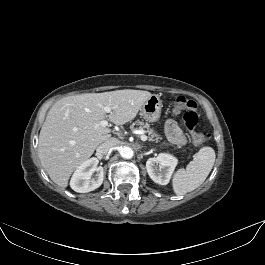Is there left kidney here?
Wrapping results in <instances>:
<instances>
[{
    "mask_svg": "<svg viewBox=\"0 0 265 265\" xmlns=\"http://www.w3.org/2000/svg\"><path fill=\"white\" fill-rule=\"evenodd\" d=\"M178 160L166 153H161L155 158H149L146 169L149 177L157 184L167 185L171 179Z\"/></svg>",
    "mask_w": 265,
    "mask_h": 265,
    "instance_id": "left-kidney-1",
    "label": "left kidney"
}]
</instances>
